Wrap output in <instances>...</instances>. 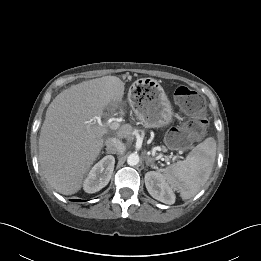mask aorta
<instances>
[{"label": "aorta", "instance_id": "aorta-1", "mask_svg": "<svg viewBox=\"0 0 261 261\" xmlns=\"http://www.w3.org/2000/svg\"><path fill=\"white\" fill-rule=\"evenodd\" d=\"M127 163L130 166H135L139 163V156L137 154H130L127 158Z\"/></svg>", "mask_w": 261, "mask_h": 261}]
</instances>
